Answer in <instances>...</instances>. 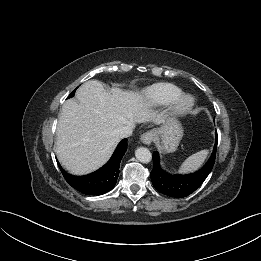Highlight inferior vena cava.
<instances>
[{
    "label": "inferior vena cava",
    "instance_id": "obj_1",
    "mask_svg": "<svg viewBox=\"0 0 261 261\" xmlns=\"http://www.w3.org/2000/svg\"><path fill=\"white\" fill-rule=\"evenodd\" d=\"M135 128V124H128L120 128L118 134L120 138H126L132 135L133 129Z\"/></svg>",
    "mask_w": 261,
    "mask_h": 261
}]
</instances>
